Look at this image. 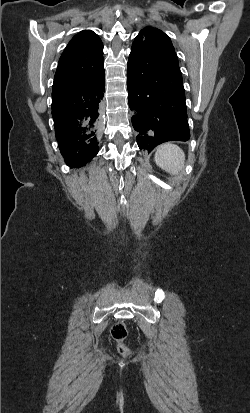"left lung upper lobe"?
<instances>
[{"mask_svg":"<svg viewBox=\"0 0 250 413\" xmlns=\"http://www.w3.org/2000/svg\"><path fill=\"white\" fill-rule=\"evenodd\" d=\"M147 37H152L154 39H157L160 41L163 45H165L170 51L175 53L174 47L171 44L170 38L163 33L162 31L152 28V27H146L141 32L138 34V36L134 39V43H141L143 39ZM176 54V53H175Z\"/></svg>","mask_w":250,"mask_h":413,"instance_id":"1","label":"left lung upper lobe"}]
</instances>
